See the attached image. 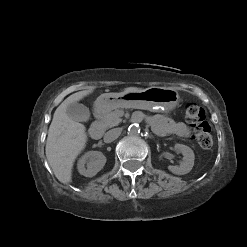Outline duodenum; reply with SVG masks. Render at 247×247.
I'll use <instances>...</instances> for the list:
<instances>
[{
  "instance_id": "410a0bca",
  "label": "duodenum",
  "mask_w": 247,
  "mask_h": 247,
  "mask_svg": "<svg viewBox=\"0 0 247 247\" xmlns=\"http://www.w3.org/2000/svg\"><path fill=\"white\" fill-rule=\"evenodd\" d=\"M102 114H103V109L101 107L97 108L95 111V116L98 120L95 121L89 129V134H90L91 138L94 140L100 139L103 135V132H104L103 125L99 121Z\"/></svg>"
}]
</instances>
